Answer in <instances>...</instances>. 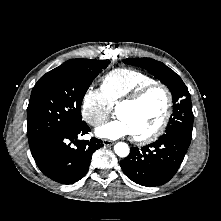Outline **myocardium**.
Listing matches in <instances>:
<instances>
[{
  "instance_id": "f54148a6",
  "label": "myocardium",
  "mask_w": 221,
  "mask_h": 221,
  "mask_svg": "<svg viewBox=\"0 0 221 221\" xmlns=\"http://www.w3.org/2000/svg\"><path fill=\"white\" fill-rule=\"evenodd\" d=\"M154 89H161L165 93L166 100H167L166 110H165L164 116H163L160 124L157 126V128L154 131H152L149 134L143 135V136L133 135V137H132L133 141L138 144H148V143L154 142L164 133V131L169 123V120L171 118L172 110H173L174 100H173L172 92L165 84L159 83V82H154V83H151V84H148V85H145V86L139 88L134 93L123 98L115 105V113H116V111L122 106L138 104L139 102H141L145 98V96L149 92H151Z\"/></svg>"
}]
</instances>
